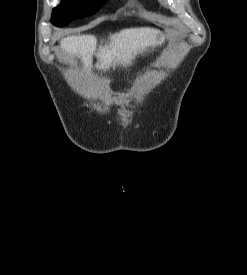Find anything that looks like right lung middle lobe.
I'll list each match as a JSON object with an SVG mask.
<instances>
[{
  "label": "right lung middle lobe",
  "instance_id": "right-lung-middle-lobe-1",
  "mask_svg": "<svg viewBox=\"0 0 247 275\" xmlns=\"http://www.w3.org/2000/svg\"><path fill=\"white\" fill-rule=\"evenodd\" d=\"M107 0H62L53 9L51 21L62 26L71 20L95 14Z\"/></svg>",
  "mask_w": 247,
  "mask_h": 275
}]
</instances>
